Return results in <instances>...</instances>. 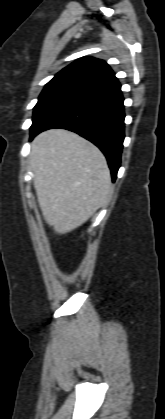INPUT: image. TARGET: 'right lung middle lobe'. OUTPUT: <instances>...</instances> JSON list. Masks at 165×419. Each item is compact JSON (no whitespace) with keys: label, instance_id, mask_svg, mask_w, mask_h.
I'll return each mask as SVG.
<instances>
[{"label":"right lung middle lobe","instance_id":"dd1d6c3e","mask_svg":"<svg viewBox=\"0 0 165 419\" xmlns=\"http://www.w3.org/2000/svg\"><path fill=\"white\" fill-rule=\"evenodd\" d=\"M81 96H83L81 93L72 90L44 88L40 94L38 103L34 107L33 123L30 130L33 131L49 114Z\"/></svg>","mask_w":165,"mask_h":419}]
</instances>
